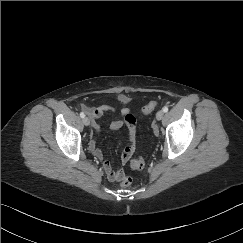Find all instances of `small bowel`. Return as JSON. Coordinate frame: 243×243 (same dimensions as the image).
Masks as SVG:
<instances>
[{
    "instance_id": "1",
    "label": "small bowel",
    "mask_w": 243,
    "mask_h": 243,
    "mask_svg": "<svg viewBox=\"0 0 243 243\" xmlns=\"http://www.w3.org/2000/svg\"><path fill=\"white\" fill-rule=\"evenodd\" d=\"M80 108L86 112V114L90 117L92 121V132L90 135V140L88 143L89 152L98 160L102 161V168L106 174V177L110 181H118L122 176V170L115 169L112 163L104 159L102 151L97 147V136L100 131V126L98 123L99 118L107 113H115L117 111L116 107L109 104H101L95 108H90L85 104H81ZM120 115L122 120L113 121L110 124V128L112 130L118 131L123 127L127 128L128 132V145L125 147L122 156H121V164H125L133 155L136 149L137 142V129H136V119L132 115L129 109L122 108L120 110Z\"/></svg>"
}]
</instances>
